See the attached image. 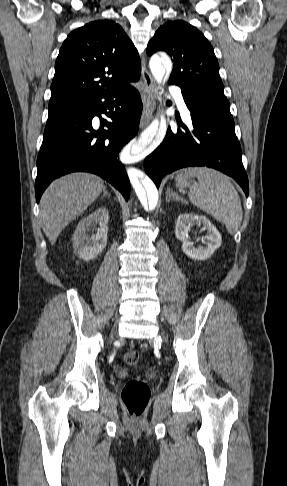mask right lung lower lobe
Wrapping results in <instances>:
<instances>
[{
	"mask_svg": "<svg viewBox=\"0 0 287 486\" xmlns=\"http://www.w3.org/2000/svg\"><path fill=\"white\" fill-rule=\"evenodd\" d=\"M142 112L138 91L130 84L98 95L76 109L48 118L37 158L36 201L55 179L71 172L101 176L129 198V179L118 153L137 133ZM104 113L108 119H103ZM100 118L94 129L92 119Z\"/></svg>",
	"mask_w": 287,
	"mask_h": 486,
	"instance_id": "1",
	"label": "right lung lower lobe"
}]
</instances>
